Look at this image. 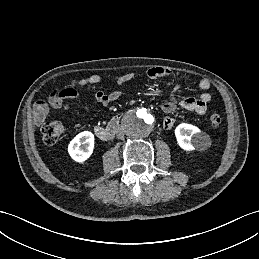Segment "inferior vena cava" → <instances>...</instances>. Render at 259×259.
Masks as SVG:
<instances>
[{"mask_svg":"<svg viewBox=\"0 0 259 259\" xmlns=\"http://www.w3.org/2000/svg\"><path fill=\"white\" fill-rule=\"evenodd\" d=\"M124 135H125L124 128L117 129L116 136L118 139H122L124 137Z\"/></svg>","mask_w":259,"mask_h":259,"instance_id":"inferior-vena-cava-1","label":"inferior vena cava"}]
</instances>
